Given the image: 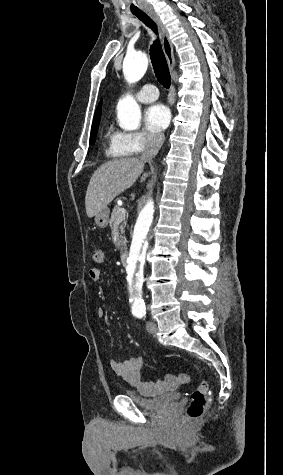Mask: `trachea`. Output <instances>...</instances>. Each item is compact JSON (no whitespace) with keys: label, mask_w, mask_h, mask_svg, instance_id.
Wrapping results in <instances>:
<instances>
[{"label":"trachea","mask_w":283,"mask_h":475,"mask_svg":"<svg viewBox=\"0 0 283 475\" xmlns=\"http://www.w3.org/2000/svg\"><path fill=\"white\" fill-rule=\"evenodd\" d=\"M133 15H135L148 28H150L156 36L155 40L150 46V59L158 82L161 83L163 87L169 88L171 84V76L167 65V60L160 43L157 25L148 15H146V13L142 11L133 12Z\"/></svg>","instance_id":"1"}]
</instances>
